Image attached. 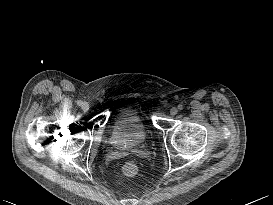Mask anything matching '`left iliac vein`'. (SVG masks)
Masks as SVG:
<instances>
[{"instance_id": "left-iliac-vein-1", "label": "left iliac vein", "mask_w": 273, "mask_h": 205, "mask_svg": "<svg viewBox=\"0 0 273 205\" xmlns=\"http://www.w3.org/2000/svg\"><path fill=\"white\" fill-rule=\"evenodd\" d=\"M177 113H178V109H177L176 107L171 108L170 114H171L172 116L176 115Z\"/></svg>"}]
</instances>
